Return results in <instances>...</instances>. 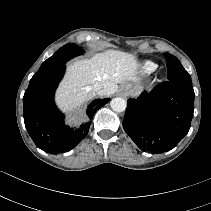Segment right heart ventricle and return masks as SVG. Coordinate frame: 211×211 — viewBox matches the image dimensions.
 <instances>
[{
  "instance_id": "right-heart-ventricle-1",
  "label": "right heart ventricle",
  "mask_w": 211,
  "mask_h": 211,
  "mask_svg": "<svg viewBox=\"0 0 211 211\" xmlns=\"http://www.w3.org/2000/svg\"><path fill=\"white\" fill-rule=\"evenodd\" d=\"M157 68V65L152 62V61H145L142 65H141V73L144 75H149L151 73H153Z\"/></svg>"
}]
</instances>
